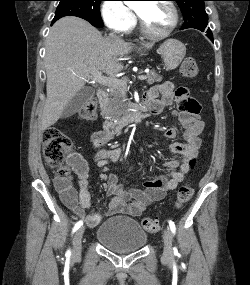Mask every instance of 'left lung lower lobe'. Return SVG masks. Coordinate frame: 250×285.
Returning a JSON list of instances; mask_svg holds the SVG:
<instances>
[{
  "label": "left lung lower lobe",
  "mask_w": 250,
  "mask_h": 285,
  "mask_svg": "<svg viewBox=\"0 0 250 285\" xmlns=\"http://www.w3.org/2000/svg\"><path fill=\"white\" fill-rule=\"evenodd\" d=\"M207 37L213 41V35H212V32H210V31H209V32H207Z\"/></svg>",
  "instance_id": "obj_1"
}]
</instances>
